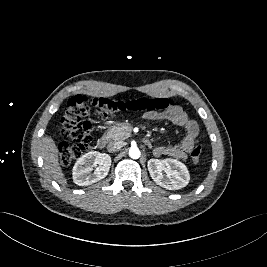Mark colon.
Returning <instances> with one entry per match:
<instances>
[{"label":"colon","instance_id":"5ec220e1","mask_svg":"<svg viewBox=\"0 0 267 267\" xmlns=\"http://www.w3.org/2000/svg\"><path fill=\"white\" fill-rule=\"evenodd\" d=\"M176 106L169 98H139L129 101H114L107 98H88L76 95L63 107L60 130L67 142L58 146L59 161L69 166L88 151L92 141V125L88 120L91 114L102 118H113L126 113L143 115L161 114ZM202 147L196 145L190 154L193 162L200 161Z\"/></svg>","mask_w":267,"mask_h":267}]
</instances>
